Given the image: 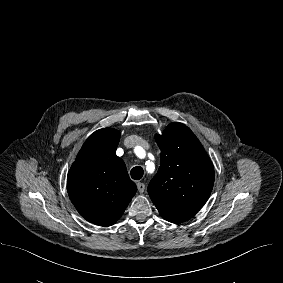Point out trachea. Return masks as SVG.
I'll return each instance as SVG.
<instances>
[{
	"label": "trachea",
	"mask_w": 283,
	"mask_h": 283,
	"mask_svg": "<svg viewBox=\"0 0 283 283\" xmlns=\"http://www.w3.org/2000/svg\"><path fill=\"white\" fill-rule=\"evenodd\" d=\"M130 174L132 179L140 180L143 177V169L139 166L133 167Z\"/></svg>",
	"instance_id": "obj_1"
}]
</instances>
